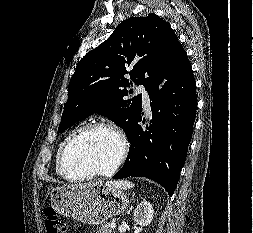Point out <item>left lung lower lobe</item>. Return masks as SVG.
Wrapping results in <instances>:
<instances>
[{"mask_svg": "<svg viewBox=\"0 0 253 233\" xmlns=\"http://www.w3.org/2000/svg\"><path fill=\"white\" fill-rule=\"evenodd\" d=\"M147 91L152 119L141 126L144 113L140 107L127 135V159L113 179L147 177L172 196L186 160L197 108L196 83L181 43L174 48L161 77Z\"/></svg>", "mask_w": 253, "mask_h": 233, "instance_id": "left-lung-lower-lobe-1", "label": "left lung lower lobe"}]
</instances>
